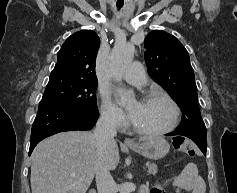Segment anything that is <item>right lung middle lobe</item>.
<instances>
[{
    "instance_id": "right-lung-middle-lobe-1",
    "label": "right lung middle lobe",
    "mask_w": 237,
    "mask_h": 193,
    "mask_svg": "<svg viewBox=\"0 0 237 193\" xmlns=\"http://www.w3.org/2000/svg\"><path fill=\"white\" fill-rule=\"evenodd\" d=\"M97 80L50 75L40 103L62 105L77 111L97 113Z\"/></svg>"
}]
</instances>
